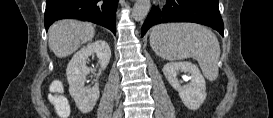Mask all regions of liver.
<instances>
[{
	"mask_svg": "<svg viewBox=\"0 0 273 118\" xmlns=\"http://www.w3.org/2000/svg\"><path fill=\"white\" fill-rule=\"evenodd\" d=\"M94 35L95 27L91 23L61 20L49 28V48L58 58H64L75 52L82 44L91 41Z\"/></svg>",
	"mask_w": 273,
	"mask_h": 118,
	"instance_id": "6515ba94",
	"label": "liver"
}]
</instances>
